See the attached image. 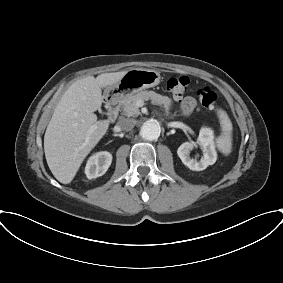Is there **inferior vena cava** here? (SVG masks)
<instances>
[{"label": "inferior vena cava", "mask_w": 283, "mask_h": 283, "mask_svg": "<svg viewBox=\"0 0 283 283\" xmlns=\"http://www.w3.org/2000/svg\"><path fill=\"white\" fill-rule=\"evenodd\" d=\"M117 126L123 131H130L135 126V121L132 119H122L117 123Z\"/></svg>", "instance_id": "obj_1"}]
</instances>
